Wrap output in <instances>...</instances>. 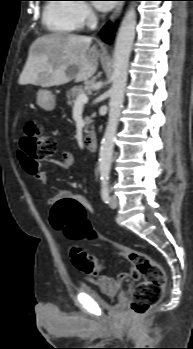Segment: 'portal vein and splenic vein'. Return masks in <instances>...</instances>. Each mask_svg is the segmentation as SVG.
I'll return each instance as SVG.
<instances>
[{"instance_id": "obj_1", "label": "portal vein and splenic vein", "mask_w": 193, "mask_h": 349, "mask_svg": "<svg viewBox=\"0 0 193 349\" xmlns=\"http://www.w3.org/2000/svg\"><path fill=\"white\" fill-rule=\"evenodd\" d=\"M88 102V97L85 93L78 95L76 98L74 105L85 104Z\"/></svg>"}]
</instances>
